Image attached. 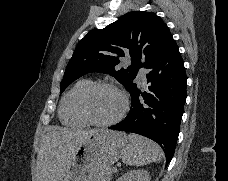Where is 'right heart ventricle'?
Listing matches in <instances>:
<instances>
[{
  "mask_svg": "<svg viewBox=\"0 0 228 181\" xmlns=\"http://www.w3.org/2000/svg\"><path fill=\"white\" fill-rule=\"evenodd\" d=\"M92 84L90 79L79 80L66 95L60 113L61 120L66 125L85 126L87 122L80 116L78 100L83 91Z\"/></svg>",
  "mask_w": 228,
  "mask_h": 181,
  "instance_id": "e07e8e85",
  "label": "right heart ventricle"
}]
</instances>
